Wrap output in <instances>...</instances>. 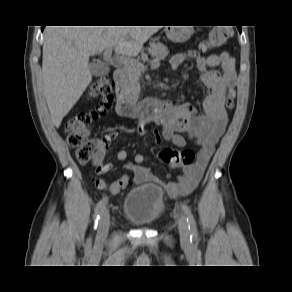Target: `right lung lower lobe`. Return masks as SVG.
<instances>
[{"label":"right lung lower lobe","instance_id":"98d812e1","mask_svg":"<svg viewBox=\"0 0 292 292\" xmlns=\"http://www.w3.org/2000/svg\"><path fill=\"white\" fill-rule=\"evenodd\" d=\"M44 27H45V26H41V30H42V31H43Z\"/></svg>","mask_w":292,"mask_h":292}]
</instances>
